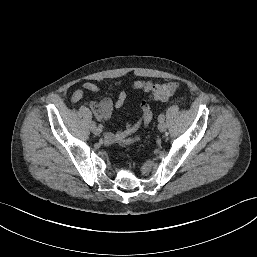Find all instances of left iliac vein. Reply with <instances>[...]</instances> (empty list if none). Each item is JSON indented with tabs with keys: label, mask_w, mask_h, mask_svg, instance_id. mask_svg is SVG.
<instances>
[{
	"label": "left iliac vein",
	"mask_w": 257,
	"mask_h": 257,
	"mask_svg": "<svg viewBox=\"0 0 257 257\" xmlns=\"http://www.w3.org/2000/svg\"><path fill=\"white\" fill-rule=\"evenodd\" d=\"M166 128H167V126H166V124L164 122H160L158 124V129H159L160 132L166 131Z\"/></svg>",
	"instance_id": "left-iliac-vein-1"
}]
</instances>
